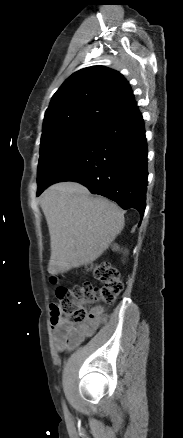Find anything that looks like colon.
Wrapping results in <instances>:
<instances>
[{
    "instance_id": "obj_1",
    "label": "colon",
    "mask_w": 183,
    "mask_h": 438,
    "mask_svg": "<svg viewBox=\"0 0 183 438\" xmlns=\"http://www.w3.org/2000/svg\"><path fill=\"white\" fill-rule=\"evenodd\" d=\"M93 276L102 286L96 287L90 283L73 288L58 287L56 295L58 304L51 305V323L65 322L74 329H79L87 320L86 304L102 302L111 304L123 289L119 274L113 267L105 263L94 264L89 267ZM55 279L52 278V282Z\"/></svg>"
}]
</instances>
